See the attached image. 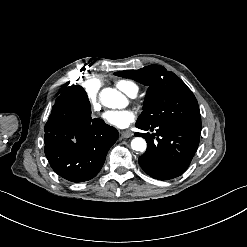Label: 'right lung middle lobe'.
Masks as SVG:
<instances>
[{
	"mask_svg": "<svg viewBox=\"0 0 247 247\" xmlns=\"http://www.w3.org/2000/svg\"><path fill=\"white\" fill-rule=\"evenodd\" d=\"M64 89H66V92L67 93H69L73 97H75L85 107L90 108V102L88 100V96H87L85 90L81 86H79V85H72V86L66 87Z\"/></svg>",
	"mask_w": 247,
	"mask_h": 247,
	"instance_id": "right-lung-middle-lobe-1",
	"label": "right lung middle lobe"
}]
</instances>
